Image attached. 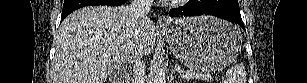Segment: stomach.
Returning <instances> with one entry per match:
<instances>
[{"mask_svg":"<svg viewBox=\"0 0 307 83\" xmlns=\"http://www.w3.org/2000/svg\"><path fill=\"white\" fill-rule=\"evenodd\" d=\"M164 36L173 55L201 73L224 69L238 56L242 46L237 26L210 16L189 18Z\"/></svg>","mask_w":307,"mask_h":83,"instance_id":"1","label":"stomach"}]
</instances>
